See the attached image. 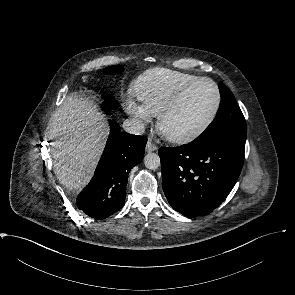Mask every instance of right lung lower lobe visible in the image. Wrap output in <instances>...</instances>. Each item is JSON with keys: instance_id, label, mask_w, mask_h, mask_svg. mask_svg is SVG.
<instances>
[{"instance_id": "98d812e1", "label": "right lung lower lobe", "mask_w": 295, "mask_h": 295, "mask_svg": "<svg viewBox=\"0 0 295 295\" xmlns=\"http://www.w3.org/2000/svg\"><path fill=\"white\" fill-rule=\"evenodd\" d=\"M147 139L120 133L110 121V135L94 177L76 199L78 209L95 219H104L120 210L125 202L130 169L144 156Z\"/></svg>"}]
</instances>
